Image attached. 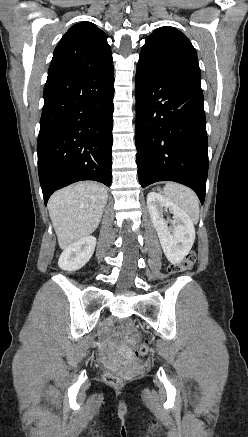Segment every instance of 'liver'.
Instances as JSON below:
<instances>
[{"label":"liver","mask_w":248,"mask_h":437,"mask_svg":"<svg viewBox=\"0 0 248 437\" xmlns=\"http://www.w3.org/2000/svg\"><path fill=\"white\" fill-rule=\"evenodd\" d=\"M107 199L106 188L95 182L73 184L50 197L49 215L61 249L96 230Z\"/></svg>","instance_id":"liver-1"}]
</instances>
